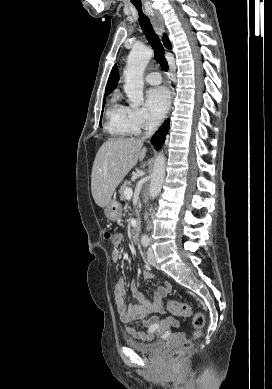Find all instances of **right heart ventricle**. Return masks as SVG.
I'll return each mask as SVG.
<instances>
[{"label": "right heart ventricle", "instance_id": "obj_1", "mask_svg": "<svg viewBox=\"0 0 272 389\" xmlns=\"http://www.w3.org/2000/svg\"><path fill=\"white\" fill-rule=\"evenodd\" d=\"M106 130L110 135L124 137L138 133L131 115V107L121 102L118 94L111 98L106 111Z\"/></svg>", "mask_w": 272, "mask_h": 389}]
</instances>
